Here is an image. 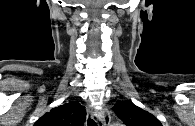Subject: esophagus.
<instances>
[{
    "label": "esophagus",
    "instance_id": "34e87169",
    "mask_svg": "<svg viewBox=\"0 0 195 126\" xmlns=\"http://www.w3.org/2000/svg\"><path fill=\"white\" fill-rule=\"evenodd\" d=\"M96 116L101 120L103 126H109L111 123V116L106 108L95 110Z\"/></svg>",
    "mask_w": 195,
    "mask_h": 126
}]
</instances>
